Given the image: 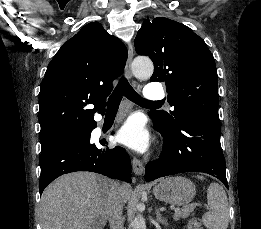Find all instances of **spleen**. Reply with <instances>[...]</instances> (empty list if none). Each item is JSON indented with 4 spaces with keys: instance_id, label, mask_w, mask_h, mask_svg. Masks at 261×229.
<instances>
[{
    "instance_id": "3e777b00",
    "label": "spleen",
    "mask_w": 261,
    "mask_h": 229,
    "mask_svg": "<svg viewBox=\"0 0 261 229\" xmlns=\"http://www.w3.org/2000/svg\"><path fill=\"white\" fill-rule=\"evenodd\" d=\"M199 179H203V177H199ZM207 199L211 211L202 217L204 227L207 229H228V199L223 187L218 183H211L207 189Z\"/></svg>"
}]
</instances>
